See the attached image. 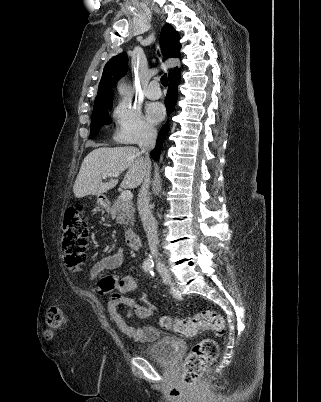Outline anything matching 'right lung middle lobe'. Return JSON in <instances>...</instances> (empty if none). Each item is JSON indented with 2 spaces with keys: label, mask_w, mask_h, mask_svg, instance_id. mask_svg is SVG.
Wrapping results in <instances>:
<instances>
[{
  "label": "right lung middle lobe",
  "mask_w": 321,
  "mask_h": 402,
  "mask_svg": "<svg viewBox=\"0 0 321 402\" xmlns=\"http://www.w3.org/2000/svg\"><path fill=\"white\" fill-rule=\"evenodd\" d=\"M110 109H112V103L105 106L93 108L90 138H93L97 135L102 125L110 124L111 120L108 112V110Z\"/></svg>",
  "instance_id": "dd1d6c3e"
}]
</instances>
